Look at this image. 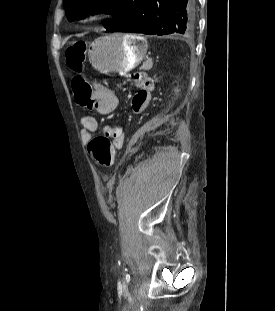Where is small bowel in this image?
Masks as SVG:
<instances>
[{"mask_svg": "<svg viewBox=\"0 0 275 311\" xmlns=\"http://www.w3.org/2000/svg\"><path fill=\"white\" fill-rule=\"evenodd\" d=\"M134 80L137 82L136 92L132 94L131 111L140 113L144 108L152 107L151 93L155 91V80H151V73H134ZM186 86L185 80H178L177 86L172 87L173 93H180L181 87ZM119 100L114 92L103 85L95 87V100L91 106L93 110L100 114H110L118 108ZM81 135L87 142L92 138L94 132L98 130L97 121L90 115H84L80 119ZM101 132L111 138L117 148H120L124 142V128L120 124L107 123L101 127Z\"/></svg>", "mask_w": 275, "mask_h": 311, "instance_id": "c3829d8e", "label": "small bowel"}]
</instances>
